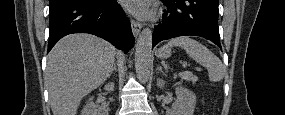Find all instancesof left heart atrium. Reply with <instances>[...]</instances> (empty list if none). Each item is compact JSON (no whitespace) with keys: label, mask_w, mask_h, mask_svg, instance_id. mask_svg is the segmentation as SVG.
Masks as SVG:
<instances>
[{"label":"left heart atrium","mask_w":285,"mask_h":115,"mask_svg":"<svg viewBox=\"0 0 285 115\" xmlns=\"http://www.w3.org/2000/svg\"><path fill=\"white\" fill-rule=\"evenodd\" d=\"M124 6L139 16H146L148 14V1L147 0H124Z\"/></svg>","instance_id":"left-heart-atrium-1"}]
</instances>
